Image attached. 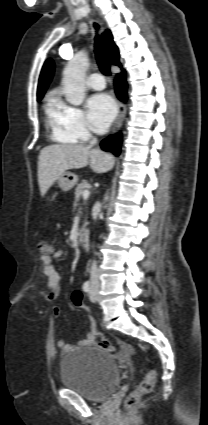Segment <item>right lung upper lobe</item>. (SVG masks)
Instances as JSON below:
<instances>
[{
    "mask_svg": "<svg viewBox=\"0 0 208 425\" xmlns=\"http://www.w3.org/2000/svg\"><path fill=\"white\" fill-rule=\"evenodd\" d=\"M103 40L107 49V55L109 58V61L114 65H120L119 61V51L118 47L113 42V36L111 34L110 30H106L103 34ZM54 73V63L51 59H48L42 68L39 83H38V90H37V99L41 100Z\"/></svg>",
    "mask_w": 208,
    "mask_h": 425,
    "instance_id": "obj_1",
    "label": "right lung upper lobe"
}]
</instances>
